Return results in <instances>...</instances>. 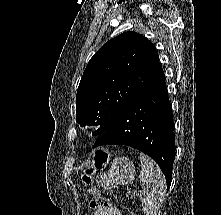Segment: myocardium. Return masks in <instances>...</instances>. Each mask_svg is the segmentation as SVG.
Here are the masks:
<instances>
[{
  "instance_id": "f54148a6",
  "label": "myocardium",
  "mask_w": 221,
  "mask_h": 215,
  "mask_svg": "<svg viewBox=\"0 0 221 215\" xmlns=\"http://www.w3.org/2000/svg\"><path fill=\"white\" fill-rule=\"evenodd\" d=\"M88 129H89L90 131H92V130H94V129H95V126L90 125V126L88 127Z\"/></svg>"
}]
</instances>
